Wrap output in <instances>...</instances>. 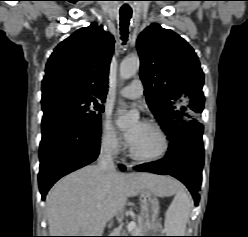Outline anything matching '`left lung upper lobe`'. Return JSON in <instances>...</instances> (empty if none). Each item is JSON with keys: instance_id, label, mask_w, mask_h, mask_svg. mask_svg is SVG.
<instances>
[{"instance_id": "obj_1", "label": "left lung upper lobe", "mask_w": 248, "mask_h": 237, "mask_svg": "<svg viewBox=\"0 0 248 237\" xmlns=\"http://www.w3.org/2000/svg\"><path fill=\"white\" fill-rule=\"evenodd\" d=\"M140 77L149 108L171 139L184 125L199 122L204 109V73L193 48L178 34L151 24L137 39Z\"/></svg>"}]
</instances>
